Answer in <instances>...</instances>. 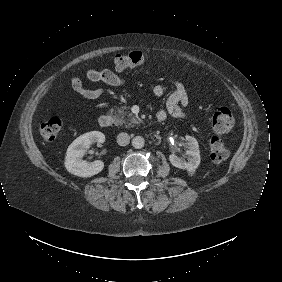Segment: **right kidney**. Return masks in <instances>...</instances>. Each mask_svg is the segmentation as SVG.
Instances as JSON below:
<instances>
[{
	"instance_id": "1",
	"label": "right kidney",
	"mask_w": 282,
	"mask_h": 282,
	"mask_svg": "<svg viewBox=\"0 0 282 282\" xmlns=\"http://www.w3.org/2000/svg\"><path fill=\"white\" fill-rule=\"evenodd\" d=\"M104 143L105 135L99 131L85 133L76 138L69 146L65 157V167L68 172L79 177H91L104 168L101 160L88 162L83 156L92 143Z\"/></svg>"
}]
</instances>
